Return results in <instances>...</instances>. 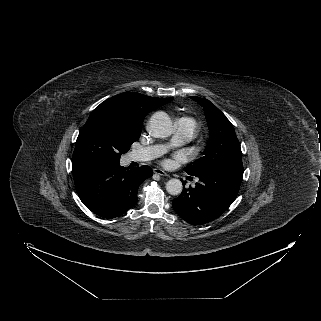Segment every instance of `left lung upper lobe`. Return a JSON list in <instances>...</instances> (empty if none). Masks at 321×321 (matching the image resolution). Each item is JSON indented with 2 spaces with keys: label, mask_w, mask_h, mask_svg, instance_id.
Instances as JSON below:
<instances>
[{
  "label": "left lung upper lobe",
  "mask_w": 321,
  "mask_h": 321,
  "mask_svg": "<svg viewBox=\"0 0 321 321\" xmlns=\"http://www.w3.org/2000/svg\"><path fill=\"white\" fill-rule=\"evenodd\" d=\"M204 110L210 140L204 150L203 157L193 164L186 166L189 175L197 176L203 172L217 167L243 166L241 159V147L235 130L226 116L209 100L191 96Z\"/></svg>",
  "instance_id": "left-lung-upper-lobe-1"
}]
</instances>
